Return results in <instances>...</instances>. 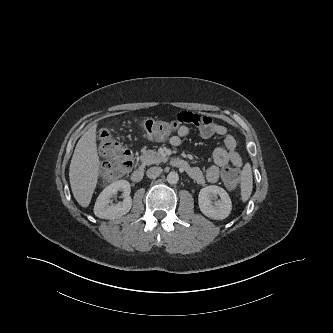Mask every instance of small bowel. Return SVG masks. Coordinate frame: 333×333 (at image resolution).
Masks as SVG:
<instances>
[{"instance_id":"1","label":"small bowel","mask_w":333,"mask_h":333,"mask_svg":"<svg viewBox=\"0 0 333 333\" xmlns=\"http://www.w3.org/2000/svg\"><path fill=\"white\" fill-rule=\"evenodd\" d=\"M178 120L181 124L177 128L176 135L172 136L170 139V144L174 147L180 146L182 138L190 135V129L186 124L198 125V133L203 139H208L213 136H221L223 138V146L217 147L213 152V165L206 171H202L198 167H189V169L186 170L196 182H217L228 164H232L235 168L242 167L243 162L237 152L236 141L233 136L228 134L224 126L215 123L209 117L200 116L187 111L180 113Z\"/></svg>"}]
</instances>
